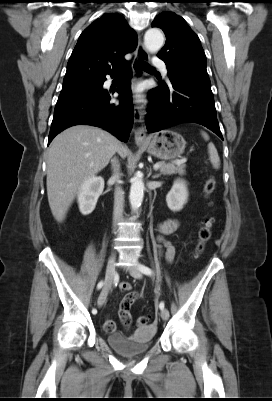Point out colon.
<instances>
[{
    "instance_id": "1",
    "label": "colon",
    "mask_w": 272,
    "mask_h": 401,
    "mask_svg": "<svg viewBox=\"0 0 272 401\" xmlns=\"http://www.w3.org/2000/svg\"><path fill=\"white\" fill-rule=\"evenodd\" d=\"M214 189H215L214 179L208 178L204 185L205 196L209 197L213 193ZM213 224H214V220L212 217H207L203 221L202 226L199 231V240H198V244L196 247L197 254H200L203 251L205 244L210 239L211 234H212ZM150 321H151L150 317L140 316L136 319L135 325L138 327L148 326L150 324Z\"/></svg>"
}]
</instances>
